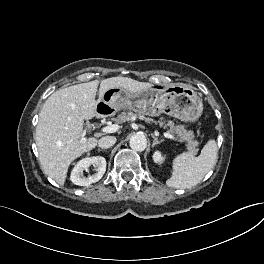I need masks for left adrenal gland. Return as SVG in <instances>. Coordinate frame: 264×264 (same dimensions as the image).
<instances>
[{
    "instance_id": "a2214340",
    "label": "left adrenal gland",
    "mask_w": 264,
    "mask_h": 264,
    "mask_svg": "<svg viewBox=\"0 0 264 264\" xmlns=\"http://www.w3.org/2000/svg\"><path fill=\"white\" fill-rule=\"evenodd\" d=\"M152 138L154 139L153 143H152V147H154L155 145L160 144L162 142V140H158V138L155 137L153 134H152Z\"/></svg>"
}]
</instances>
